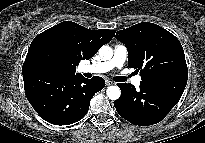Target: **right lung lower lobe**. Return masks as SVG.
I'll return each instance as SVG.
<instances>
[{
    "label": "right lung lower lobe",
    "mask_w": 205,
    "mask_h": 143,
    "mask_svg": "<svg viewBox=\"0 0 205 143\" xmlns=\"http://www.w3.org/2000/svg\"><path fill=\"white\" fill-rule=\"evenodd\" d=\"M28 101L37 113L54 125H69L82 119L91 98L105 86L103 78L86 79L44 65L29 63L22 68Z\"/></svg>",
    "instance_id": "1"
}]
</instances>
